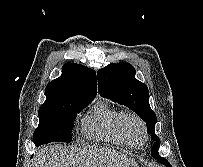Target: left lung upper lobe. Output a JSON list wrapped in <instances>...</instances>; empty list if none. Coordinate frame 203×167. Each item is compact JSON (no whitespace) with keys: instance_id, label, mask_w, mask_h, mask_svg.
I'll return each mask as SVG.
<instances>
[{"instance_id":"5c2ea615","label":"left lung upper lobe","mask_w":203,"mask_h":167,"mask_svg":"<svg viewBox=\"0 0 203 167\" xmlns=\"http://www.w3.org/2000/svg\"><path fill=\"white\" fill-rule=\"evenodd\" d=\"M97 77L101 96L130 108L146 122L147 132L155 141L151 155L163 163L165 159L158 154L160 139L155 134L157 118L150 108L147 86L135 78V68L126 62L109 64L98 71Z\"/></svg>"}]
</instances>
